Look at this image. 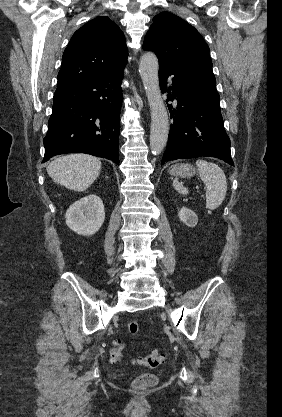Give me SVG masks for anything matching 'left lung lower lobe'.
Here are the masks:
<instances>
[{"instance_id": "left-lung-lower-lobe-1", "label": "left lung lower lobe", "mask_w": 282, "mask_h": 417, "mask_svg": "<svg viewBox=\"0 0 282 417\" xmlns=\"http://www.w3.org/2000/svg\"><path fill=\"white\" fill-rule=\"evenodd\" d=\"M170 75H173V83L168 93H172L167 95V102L176 99L178 103L176 109L168 105L173 123L161 164L209 156L234 165L212 70L194 67L172 69L159 65L162 93L167 89L166 79Z\"/></svg>"}]
</instances>
